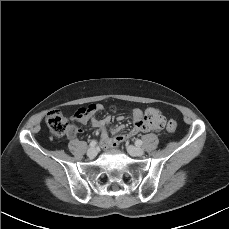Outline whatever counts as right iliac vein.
Segmentation results:
<instances>
[{"label": "right iliac vein", "mask_w": 229, "mask_h": 229, "mask_svg": "<svg viewBox=\"0 0 229 229\" xmlns=\"http://www.w3.org/2000/svg\"><path fill=\"white\" fill-rule=\"evenodd\" d=\"M87 155L89 158H95L97 155V149L96 148H89L87 151Z\"/></svg>", "instance_id": "63e3f726"}]
</instances>
